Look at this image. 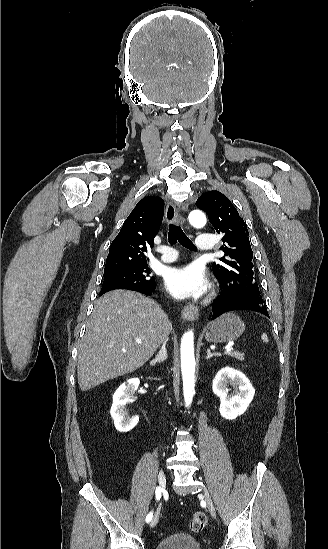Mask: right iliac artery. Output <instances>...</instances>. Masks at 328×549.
<instances>
[{
	"label": "right iliac artery",
	"mask_w": 328,
	"mask_h": 549,
	"mask_svg": "<svg viewBox=\"0 0 328 549\" xmlns=\"http://www.w3.org/2000/svg\"><path fill=\"white\" fill-rule=\"evenodd\" d=\"M161 492H162V489L160 487H157L156 490H155V495H156V499L157 500H160L161 498ZM152 517H153V513L150 512L147 516H146V522L149 523L151 520H152Z\"/></svg>",
	"instance_id": "obj_1"
}]
</instances>
